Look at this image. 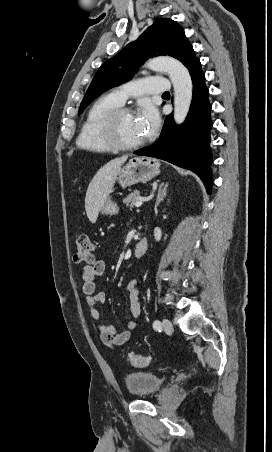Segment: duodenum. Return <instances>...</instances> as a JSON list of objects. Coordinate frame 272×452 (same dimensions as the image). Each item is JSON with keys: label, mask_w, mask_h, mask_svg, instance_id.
<instances>
[{"label": "duodenum", "mask_w": 272, "mask_h": 452, "mask_svg": "<svg viewBox=\"0 0 272 452\" xmlns=\"http://www.w3.org/2000/svg\"><path fill=\"white\" fill-rule=\"evenodd\" d=\"M148 246H149L148 238L146 236H144L135 244L134 256L136 258L142 257L144 255V253L146 252V250L148 249Z\"/></svg>", "instance_id": "410a0bca"}]
</instances>
